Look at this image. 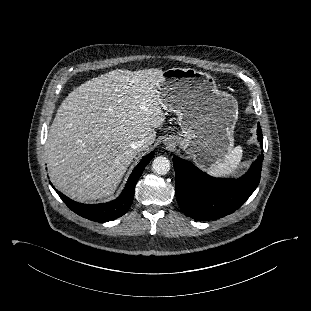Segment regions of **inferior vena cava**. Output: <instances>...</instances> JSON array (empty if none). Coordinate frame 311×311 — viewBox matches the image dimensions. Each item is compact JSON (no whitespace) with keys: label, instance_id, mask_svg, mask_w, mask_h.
<instances>
[{"label":"inferior vena cava","instance_id":"inferior-vena-cava-1","mask_svg":"<svg viewBox=\"0 0 311 311\" xmlns=\"http://www.w3.org/2000/svg\"><path fill=\"white\" fill-rule=\"evenodd\" d=\"M145 144V140H137L130 144V147L134 150H139Z\"/></svg>","mask_w":311,"mask_h":311}]
</instances>
